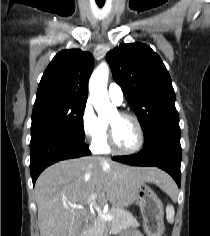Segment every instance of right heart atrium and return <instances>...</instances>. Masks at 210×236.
I'll use <instances>...</instances> for the list:
<instances>
[{
    "instance_id": "d8ad5b80",
    "label": "right heart atrium",
    "mask_w": 210,
    "mask_h": 236,
    "mask_svg": "<svg viewBox=\"0 0 210 236\" xmlns=\"http://www.w3.org/2000/svg\"><path fill=\"white\" fill-rule=\"evenodd\" d=\"M106 128L107 124L98 117L92 102L87 100L81 113V129L84 138L93 144L105 133Z\"/></svg>"
}]
</instances>
